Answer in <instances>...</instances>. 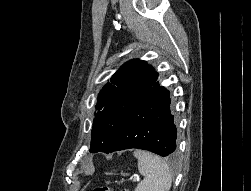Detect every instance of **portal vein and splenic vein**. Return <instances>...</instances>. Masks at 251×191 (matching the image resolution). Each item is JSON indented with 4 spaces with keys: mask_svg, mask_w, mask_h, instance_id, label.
Returning <instances> with one entry per match:
<instances>
[{
    "mask_svg": "<svg viewBox=\"0 0 251 191\" xmlns=\"http://www.w3.org/2000/svg\"><path fill=\"white\" fill-rule=\"evenodd\" d=\"M136 181H139V178H133V179L131 180V183H132V184H135Z\"/></svg>",
    "mask_w": 251,
    "mask_h": 191,
    "instance_id": "1",
    "label": "portal vein and splenic vein"
}]
</instances>
